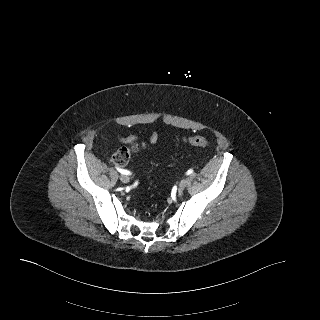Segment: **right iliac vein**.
<instances>
[{"label": "right iliac vein", "instance_id": "63e3f726", "mask_svg": "<svg viewBox=\"0 0 320 320\" xmlns=\"http://www.w3.org/2000/svg\"><path fill=\"white\" fill-rule=\"evenodd\" d=\"M120 180L123 182V183H128L129 182V177L127 175H121L120 176Z\"/></svg>", "mask_w": 320, "mask_h": 320}]
</instances>
